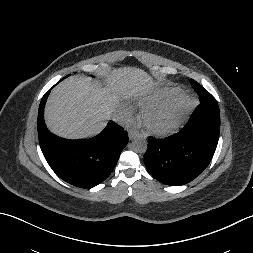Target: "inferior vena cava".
Returning <instances> with one entry per match:
<instances>
[{
  "label": "inferior vena cava",
  "mask_w": 253,
  "mask_h": 253,
  "mask_svg": "<svg viewBox=\"0 0 253 253\" xmlns=\"http://www.w3.org/2000/svg\"><path fill=\"white\" fill-rule=\"evenodd\" d=\"M112 120H114L115 122L119 123V124H125L127 123V119L125 118V116L122 113H116L112 116Z\"/></svg>",
  "instance_id": "1"
}]
</instances>
